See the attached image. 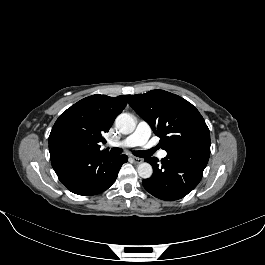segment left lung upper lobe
<instances>
[{"mask_svg":"<svg viewBox=\"0 0 265 265\" xmlns=\"http://www.w3.org/2000/svg\"><path fill=\"white\" fill-rule=\"evenodd\" d=\"M130 106L159 136L167 152L210 143L209 129L199 111L187 100L164 90L131 96Z\"/></svg>","mask_w":265,"mask_h":265,"instance_id":"obj_1","label":"left lung upper lobe"}]
</instances>
